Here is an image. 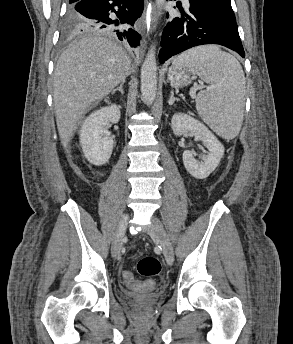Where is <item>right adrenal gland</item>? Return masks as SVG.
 Segmentation results:
<instances>
[{
  "label": "right adrenal gland",
  "mask_w": 293,
  "mask_h": 344,
  "mask_svg": "<svg viewBox=\"0 0 293 344\" xmlns=\"http://www.w3.org/2000/svg\"><path fill=\"white\" fill-rule=\"evenodd\" d=\"M123 85H124V82H122V83L120 84V86H119L117 89H114V90L111 92V94L113 95V94H115L117 91H120V93H121L122 95H124Z\"/></svg>",
  "instance_id": "obj_1"
}]
</instances>
